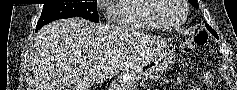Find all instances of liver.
Instances as JSON below:
<instances>
[{
  "mask_svg": "<svg viewBox=\"0 0 237 90\" xmlns=\"http://www.w3.org/2000/svg\"><path fill=\"white\" fill-rule=\"evenodd\" d=\"M120 28L79 18L58 20L35 38L32 66L39 90H88L119 72Z\"/></svg>",
  "mask_w": 237,
  "mask_h": 90,
  "instance_id": "liver-1",
  "label": "liver"
}]
</instances>
